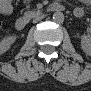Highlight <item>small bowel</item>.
Instances as JSON below:
<instances>
[{"label": "small bowel", "instance_id": "small-bowel-1", "mask_svg": "<svg viewBox=\"0 0 91 91\" xmlns=\"http://www.w3.org/2000/svg\"><path fill=\"white\" fill-rule=\"evenodd\" d=\"M10 12V8H8L6 11H5V13H9Z\"/></svg>", "mask_w": 91, "mask_h": 91}]
</instances>
